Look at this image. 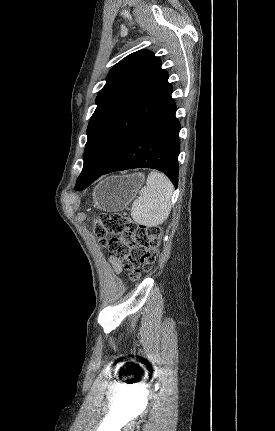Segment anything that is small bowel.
I'll return each mask as SVG.
<instances>
[{
    "mask_svg": "<svg viewBox=\"0 0 275 431\" xmlns=\"http://www.w3.org/2000/svg\"><path fill=\"white\" fill-rule=\"evenodd\" d=\"M111 264H112V266L116 272H118V273L121 272L122 265H121V261L119 259H117L116 257H113L111 259Z\"/></svg>",
    "mask_w": 275,
    "mask_h": 431,
    "instance_id": "c3829d8e",
    "label": "small bowel"
}]
</instances>
